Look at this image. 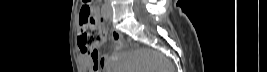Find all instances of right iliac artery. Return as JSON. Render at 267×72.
Instances as JSON below:
<instances>
[{"label":"right iliac artery","instance_id":"1","mask_svg":"<svg viewBox=\"0 0 267 72\" xmlns=\"http://www.w3.org/2000/svg\"><path fill=\"white\" fill-rule=\"evenodd\" d=\"M102 15L105 19L109 17V8L106 4L102 6Z\"/></svg>","mask_w":267,"mask_h":72}]
</instances>
